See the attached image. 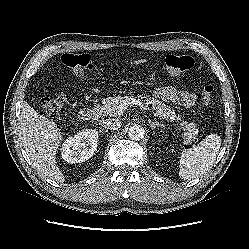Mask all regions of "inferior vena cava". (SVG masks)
Listing matches in <instances>:
<instances>
[{"label": "inferior vena cava", "instance_id": "602c4592", "mask_svg": "<svg viewBox=\"0 0 249 249\" xmlns=\"http://www.w3.org/2000/svg\"><path fill=\"white\" fill-rule=\"evenodd\" d=\"M102 127L106 128V129H111V130H116L118 128H120L121 126V122L119 120H115V119H105V120H101L99 123Z\"/></svg>", "mask_w": 249, "mask_h": 249}]
</instances>
